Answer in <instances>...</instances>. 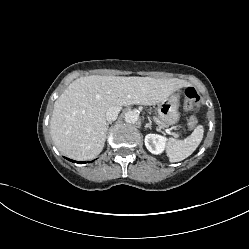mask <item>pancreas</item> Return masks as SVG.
Listing matches in <instances>:
<instances>
[{
    "label": "pancreas",
    "instance_id": "cf45deb5",
    "mask_svg": "<svg viewBox=\"0 0 249 249\" xmlns=\"http://www.w3.org/2000/svg\"><path fill=\"white\" fill-rule=\"evenodd\" d=\"M154 121L158 124L159 127L164 128L166 124L160 121L158 118H155Z\"/></svg>",
    "mask_w": 249,
    "mask_h": 249
}]
</instances>
